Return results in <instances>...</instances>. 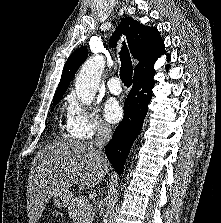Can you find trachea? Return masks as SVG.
<instances>
[{"instance_id":"obj_1","label":"trachea","mask_w":221,"mask_h":223,"mask_svg":"<svg viewBox=\"0 0 221 223\" xmlns=\"http://www.w3.org/2000/svg\"><path fill=\"white\" fill-rule=\"evenodd\" d=\"M119 55L121 61L120 78L124 85L129 87L132 83L133 66L130 53L127 46L125 45V42H123V46L121 51L119 52Z\"/></svg>"}]
</instances>
